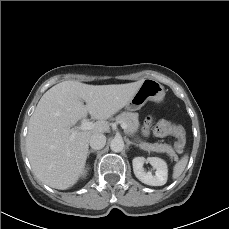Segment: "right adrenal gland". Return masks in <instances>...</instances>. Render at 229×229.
Wrapping results in <instances>:
<instances>
[{"mask_svg": "<svg viewBox=\"0 0 229 229\" xmlns=\"http://www.w3.org/2000/svg\"><path fill=\"white\" fill-rule=\"evenodd\" d=\"M95 152H96V150L91 149V150L88 151L87 156L89 157L90 153H95Z\"/></svg>", "mask_w": 229, "mask_h": 229, "instance_id": "1", "label": "right adrenal gland"}]
</instances>
